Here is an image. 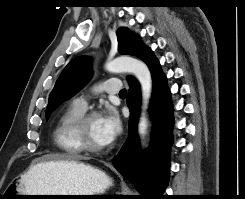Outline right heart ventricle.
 Instances as JSON below:
<instances>
[{
    "instance_id": "right-heart-ventricle-1",
    "label": "right heart ventricle",
    "mask_w": 245,
    "mask_h": 199,
    "mask_svg": "<svg viewBox=\"0 0 245 199\" xmlns=\"http://www.w3.org/2000/svg\"><path fill=\"white\" fill-rule=\"evenodd\" d=\"M84 112V109L71 104L61 114L54 129L56 145L59 149L72 156L78 155L83 151L76 142L73 131L76 120Z\"/></svg>"
}]
</instances>
